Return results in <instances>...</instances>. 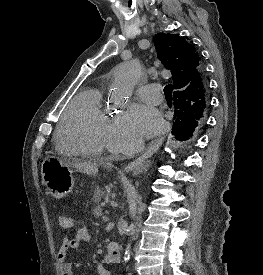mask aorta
<instances>
[{
  "mask_svg": "<svg viewBox=\"0 0 263 275\" xmlns=\"http://www.w3.org/2000/svg\"><path fill=\"white\" fill-rule=\"evenodd\" d=\"M141 77L140 64L135 61H128L120 64L115 71L114 79L111 84L110 98L117 102H125L132 95L134 87ZM128 234L130 239L134 234V224L129 225ZM131 257V240L127 243L123 260L127 263Z\"/></svg>",
  "mask_w": 263,
  "mask_h": 275,
  "instance_id": "762f6f07",
  "label": "aorta"
}]
</instances>
